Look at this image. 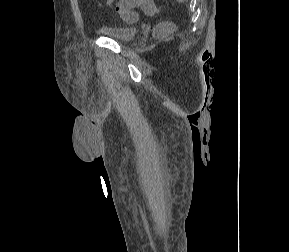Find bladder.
Listing matches in <instances>:
<instances>
[{"label": "bladder", "mask_w": 289, "mask_h": 252, "mask_svg": "<svg viewBox=\"0 0 289 252\" xmlns=\"http://www.w3.org/2000/svg\"><path fill=\"white\" fill-rule=\"evenodd\" d=\"M97 31L103 36L117 41L133 40L137 34V29L133 26H102Z\"/></svg>", "instance_id": "obj_1"}]
</instances>
